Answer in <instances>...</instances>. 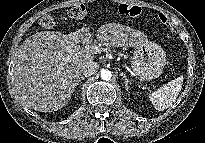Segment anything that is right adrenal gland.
Returning <instances> with one entry per match:
<instances>
[{"mask_svg":"<svg viewBox=\"0 0 205 143\" xmlns=\"http://www.w3.org/2000/svg\"><path fill=\"white\" fill-rule=\"evenodd\" d=\"M85 78L83 77V76H81L79 79H78V81H77V83L75 84V86H77V85H79V83L82 81V80H84Z\"/></svg>","mask_w":205,"mask_h":143,"instance_id":"right-adrenal-gland-1","label":"right adrenal gland"}]
</instances>
